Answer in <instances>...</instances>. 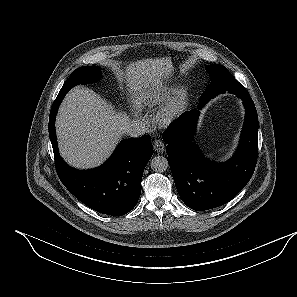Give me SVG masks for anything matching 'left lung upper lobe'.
<instances>
[{
  "mask_svg": "<svg viewBox=\"0 0 297 297\" xmlns=\"http://www.w3.org/2000/svg\"><path fill=\"white\" fill-rule=\"evenodd\" d=\"M205 69L210 75V84L200 101H208L212 97L226 91L234 94L244 93L247 90L222 65H207Z\"/></svg>",
  "mask_w": 297,
  "mask_h": 297,
  "instance_id": "left-lung-upper-lobe-1",
  "label": "left lung upper lobe"
}]
</instances>
